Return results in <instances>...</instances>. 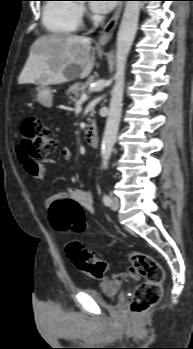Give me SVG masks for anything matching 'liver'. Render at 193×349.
I'll return each mask as SVG.
<instances>
[{"label": "liver", "instance_id": "1", "mask_svg": "<svg viewBox=\"0 0 193 349\" xmlns=\"http://www.w3.org/2000/svg\"><path fill=\"white\" fill-rule=\"evenodd\" d=\"M91 39L69 34H48L37 38L30 47L29 57L20 73L18 83L55 85L68 81L66 69L74 65L78 76L90 75L95 56Z\"/></svg>", "mask_w": 193, "mask_h": 349}]
</instances>
